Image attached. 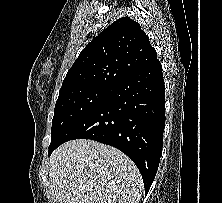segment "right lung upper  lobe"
<instances>
[{
  "label": "right lung upper lobe",
  "mask_w": 222,
  "mask_h": 203,
  "mask_svg": "<svg viewBox=\"0 0 222 203\" xmlns=\"http://www.w3.org/2000/svg\"><path fill=\"white\" fill-rule=\"evenodd\" d=\"M155 60L156 51L140 24L123 17L109 25L81 51L61 89L83 86L113 89L125 77Z\"/></svg>",
  "instance_id": "right-lung-upper-lobe-1"
}]
</instances>
